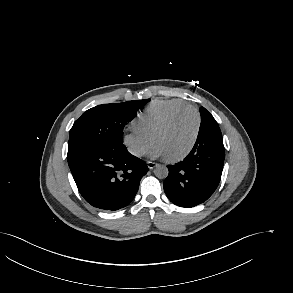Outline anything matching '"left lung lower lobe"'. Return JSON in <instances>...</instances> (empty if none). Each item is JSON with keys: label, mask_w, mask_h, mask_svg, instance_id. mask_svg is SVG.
<instances>
[{"label": "left lung lower lobe", "mask_w": 293, "mask_h": 293, "mask_svg": "<svg viewBox=\"0 0 293 293\" xmlns=\"http://www.w3.org/2000/svg\"><path fill=\"white\" fill-rule=\"evenodd\" d=\"M224 158L222 135L198 136L183 161L167 166L169 174L164 181V191L169 200L186 208L206 201L220 182Z\"/></svg>", "instance_id": "left-lung-lower-lobe-1"}]
</instances>
